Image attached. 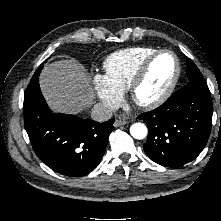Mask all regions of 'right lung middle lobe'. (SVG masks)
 <instances>
[{
	"label": "right lung middle lobe",
	"mask_w": 221,
	"mask_h": 221,
	"mask_svg": "<svg viewBox=\"0 0 221 221\" xmlns=\"http://www.w3.org/2000/svg\"><path fill=\"white\" fill-rule=\"evenodd\" d=\"M42 68H43V65L39 66L36 71H39V72H40V71L42 70Z\"/></svg>",
	"instance_id": "1"
}]
</instances>
